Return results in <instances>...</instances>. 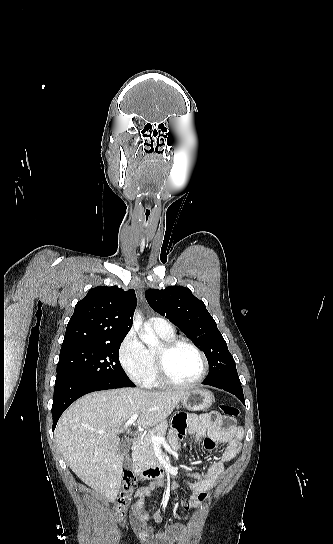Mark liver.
Masks as SVG:
<instances>
[{
	"label": "liver",
	"instance_id": "1",
	"mask_svg": "<svg viewBox=\"0 0 333 544\" xmlns=\"http://www.w3.org/2000/svg\"><path fill=\"white\" fill-rule=\"evenodd\" d=\"M185 390L145 391L122 388L94 392L72 404L58 421L55 438L72 471L114 502L121 485L124 458L118 454L121 426L139 414L136 426L150 428L164 421ZM104 432V433H102Z\"/></svg>",
	"mask_w": 333,
	"mask_h": 544
}]
</instances>
